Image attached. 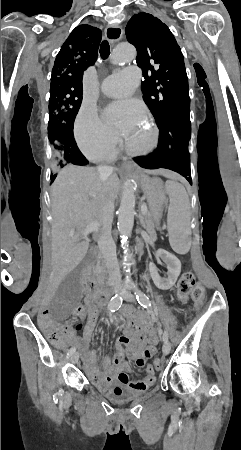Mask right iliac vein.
<instances>
[{
	"label": "right iliac vein",
	"instance_id": "right-iliac-vein-1",
	"mask_svg": "<svg viewBox=\"0 0 241 450\" xmlns=\"http://www.w3.org/2000/svg\"><path fill=\"white\" fill-rule=\"evenodd\" d=\"M78 359H79V353H74L70 358L72 363H77Z\"/></svg>",
	"mask_w": 241,
	"mask_h": 450
}]
</instances>
